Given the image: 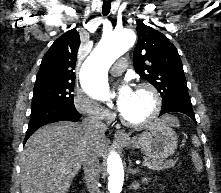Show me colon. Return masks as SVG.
I'll return each mask as SVG.
<instances>
[{
    "instance_id": "obj_1",
    "label": "colon",
    "mask_w": 221,
    "mask_h": 193,
    "mask_svg": "<svg viewBox=\"0 0 221 193\" xmlns=\"http://www.w3.org/2000/svg\"><path fill=\"white\" fill-rule=\"evenodd\" d=\"M191 158H192V162L193 165L197 171V173H201L202 169H203V163L202 160L200 159V157L198 156L197 153L192 152L191 153Z\"/></svg>"
}]
</instances>
